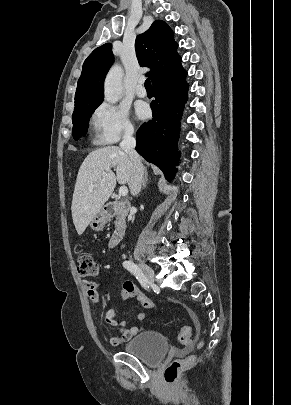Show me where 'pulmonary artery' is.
<instances>
[{
    "instance_id": "pulmonary-artery-1",
    "label": "pulmonary artery",
    "mask_w": 291,
    "mask_h": 405,
    "mask_svg": "<svg viewBox=\"0 0 291 405\" xmlns=\"http://www.w3.org/2000/svg\"><path fill=\"white\" fill-rule=\"evenodd\" d=\"M136 95L141 98H143L147 95V91L144 87V81L142 79L139 80V82L136 86Z\"/></svg>"
}]
</instances>
